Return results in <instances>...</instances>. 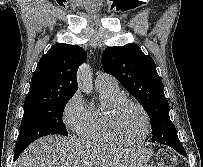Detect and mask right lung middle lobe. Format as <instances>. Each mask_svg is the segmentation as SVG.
<instances>
[{
    "label": "right lung middle lobe",
    "instance_id": "right-lung-middle-lobe-1",
    "mask_svg": "<svg viewBox=\"0 0 203 167\" xmlns=\"http://www.w3.org/2000/svg\"><path fill=\"white\" fill-rule=\"evenodd\" d=\"M71 97L24 103V115L14 155L40 137L52 134L68 135L62 116Z\"/></svg>",
    "mask_w": 203,
    "mask_h": 167
}]
</instances>
